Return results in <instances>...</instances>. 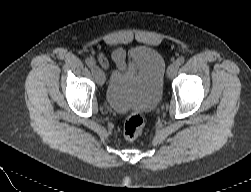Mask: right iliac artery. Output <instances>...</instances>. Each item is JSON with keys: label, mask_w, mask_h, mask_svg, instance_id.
<instances>
[{"label": "right iliac artery", "mask_w": 251, "mask_h": 192, "mask_svg": "<svg viewBox=\"0 0 251 192\" xmlns=\"http://www.w3.org/2000/svg\"><path fill=\"white\" fill-rule=\"evenodd\" d=\"M85 62L90 68H92L95 65V61L92 58H87Z\"/></svg>", "instance_id": "1"}]
</instances>
